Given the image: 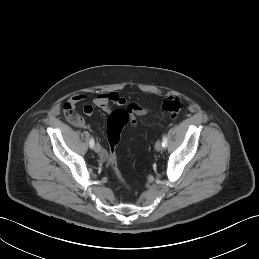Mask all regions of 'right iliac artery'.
<instances>
[{"label": "right iliac artery", "mask_w": 259, "mask_h": 259, "mask_svg": "<svg viewBox=\"0 0 259 259\" xmlns=\"http://www.w3.org/2000/svg\"><path fill=\"white\" fill-rule=\"evenodd\" d=\"M94 143H95V142H94V139L91 138L90 141H89V145H90L91 148H93Z\"/></svg>", "instance_id": "right-iliac-artery-1"}]
</instances>
